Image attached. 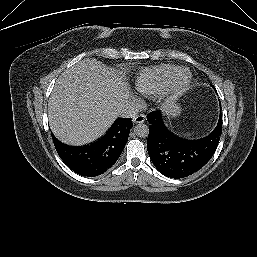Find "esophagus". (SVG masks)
<instances>
[{
    "instance_id": "obj_1",
    "label": "esophagus",
    "mask_w": 257,
    "mask_h": 257,
    "mask_svg": "<svg viewBox=\"0 0 257 257\" xmlns=\"http://www.w3.org/2000/svg\"><path fill=\"white\" fill-rule=\"evenodd\" d=\"M145 121V115L139 114L133 118L134 123H143Z\"/></svg>"
}]
</instances>
